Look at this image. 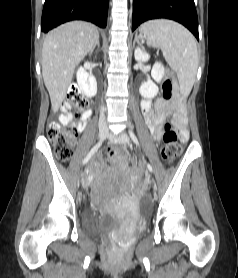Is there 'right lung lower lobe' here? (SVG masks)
<instances>
[{
    "label": "right lung lower lobe",
    "mask_w": 238,
    "mask_h": 278,
    "mask_svg": "<svg viewBox=\"0 0 238 278\" xmlns=\"http://www.w3.org/2000/svg\"><path fill=\"white\" fill-rule=\"evenodd\" d=\"M109 0H45L41 31L46 33L71 20H85L105 28Z\"/></svg>",
    "instance_id": "98d812e1"
}]
</instances>
